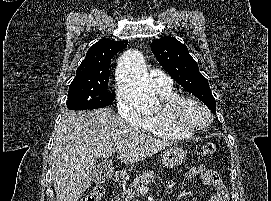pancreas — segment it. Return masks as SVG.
Listing matches in <instances>:
<instances>
[{
	"label": "pancreas",
	"mask_w": 271,
	"mask_h": 201,
	"mask_svg": "<svg viewBox=\"0 0 271 201\" xmlns=\"http://www.w3.org/2000/svg\"><path fill=\"white\" fill-rule=\"evenodd\" d=\"M162 179L156 175L154 171H145L135 178L129 188L124 189L120 196L116 197V201H139L141 185H147L150 182H161Z\"/></svg>",
	"instance_id": "1"
}]
</instances>
